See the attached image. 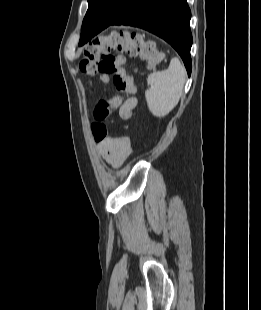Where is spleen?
<instances>
[{
  "label": "spleen",
  "instance_id": "1",
  "mask_svg": "<svg viewBox=\"0 0 261 310\" xmlns=\"http://www.w3.org/2000/svg\"><path fill=\"white\" fill-rule=\"evenodd\" d=\"M186 80V69L173 58L167 70L153 72L147 77L149 88L145 98L150 112L158 118L168 115L178 104Z\"/></svg>",
  "mask_w": 261,
  "mask_h": 310
}]
</instances>
